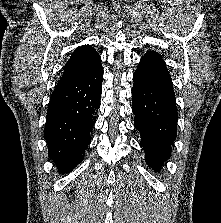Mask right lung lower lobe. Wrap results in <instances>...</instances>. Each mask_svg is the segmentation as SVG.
<instances>
[{
	"instance_id": "right-lung-lower-lobe-1",
	"label": "right lung lower lobe",
	"mask_w": 221,
	"mask_h": 223,
	"mask_svg": "<svg viewBox=\"0 0 221 223\" xmlns=\"http://www.w3.org/2000/svg\"><path fill=\"white\" fill-rule=\"evenodd\" d=\"M102 79L99 65L81 79L57 86L50 98L44 138L48 156L62 173L81 162L90 144V130L100 107Z\"/></svg>"
}]
</instances>
